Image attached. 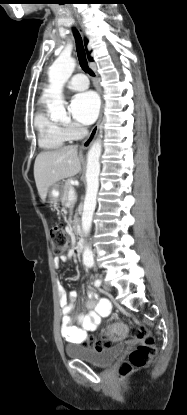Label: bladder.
Returning a JSON list of instances; mask_svg holds the SVG:
<instances>
[{
	"mask_svg": "<svg viewBox=\"0 0 187 415\" xmlns=\"http://www.w3.org/2000/svg\"><path fill=\"white\" fill-rule=\"evenodd\" d=\"M125 350L126 346L123 343L102 349H93L81 345H68L65 347L67 357L83 360L97 367L110 366L124 354Z\"/></svg>",
	"mask_w": 187,
	"mask_h": 415,
	"instance_id": "obj_1",
	"label": "bladder"
}]
</instances>
